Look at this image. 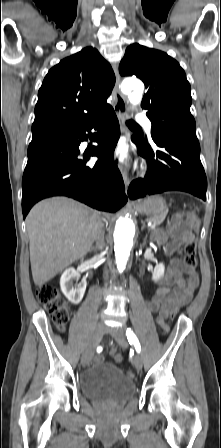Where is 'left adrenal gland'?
I'll list each match as a JSON object with an SVG mask.
<instances>
[{
  "label": "left adrenal gland",
  "mask_w": 221,
  "mask_h": 448,
  "mask_svg": "<svg viewBox=\"0 0 221 448\" xmlns=\"http://www.w3.org/2000/svg\"><path fill=\"white\" fill-rule=\"evenodd\" d=\"M145 227H146L145 223H144V222H142V228H145Z\"/></svg>",
  "instance_id": "1"
}]
</instances>
